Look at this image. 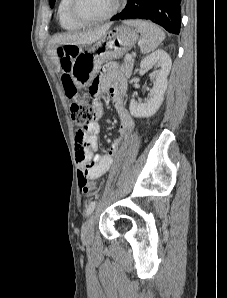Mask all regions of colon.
Listing matches in <instances>:
<instances>
[{"label": "colon", "mask_w": 227, "mask_h": 298, "mask_svg": "<svg viewBox=\"0 0 227 298\" xmlns=\"http://www.w3.org/2000/svg\"><path fill=\"white\" fill-rule=\"evenodd\" d=\"M77 54L78 47L75 45L67 44L58 49L60 67L63 72L62 83L66 95L73 99L71 104V114L74 124L78 127L75 135L76 154L79 160L84 161L85 130L82 129V126L91 124L92 122L90 121V118L96 117V115H91L90 112L87 111L88 107H94V103L85 102V99L89 98V96L92 95V92H89V94H78V90L69 75L73 59ZM77 178H79V187L83 193H95L97 191V186L86 177V173H77Z\"/></svg>", "instance_id": "1"}]
</instances>
